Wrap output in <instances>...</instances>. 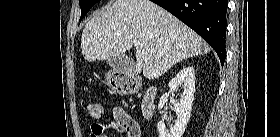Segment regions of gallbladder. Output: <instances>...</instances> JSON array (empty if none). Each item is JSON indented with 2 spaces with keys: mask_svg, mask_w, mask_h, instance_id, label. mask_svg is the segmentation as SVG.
<instances>
[{
  "mask_svg": "<svg viewBox=\"0 0 280 137\" xmlns=\"http://www.w3.org/2000/svg\"><path fill=\"white\" fill-rule=\"evenodd\" d=\"M107 64L114 71L125 72H130V70L135 66L134 61L130 57L125 55L111 57L107 59Z\"/></svg>",
  "mask_w": 280,
  "mask_h": 137,
  "instance_id": "1",
  "label": "gallbladder"
}]
</instances>
